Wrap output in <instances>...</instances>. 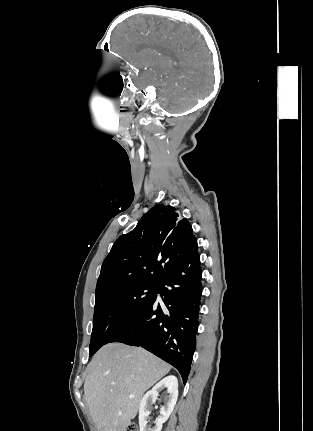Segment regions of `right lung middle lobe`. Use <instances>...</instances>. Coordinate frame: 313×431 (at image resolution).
Wrapping results in <instances>:
<instances>
[{
    "instance_id": "1",
    "label": "right lung middle lobe",
    "mask_w": 313,
    "mask_h": 431,
    "mask_svg": "<svg viewBox=\"0 0 313 431\" xmlns=\"http://www.w3.org/2000/svg\"><path fill=\"white\" fill-rule=\"evenodd\" d=\"M156 288V284L128 287L95 301L89 356L129 323L153 296Z\"/></svg>"
}]
</instances>
